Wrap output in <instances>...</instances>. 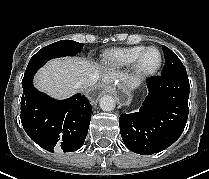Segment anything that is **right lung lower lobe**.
I'll return each mask as SVG.
<instances>
[{"mask_svg": "<svg viewBox=\"0 0 209 179\" xmlns=\"http://www.w3.org/2000/svg\"><path fill=\"white\" fill-rule=\"evenodd\" d=\"M33 77L22 83L21 122L28 136L43 149L64 152L79 149L86 138L91 104L84 95L55 100L33 86Z\"/></svg>", "mask_w": 209, "mask_h": 179, "instance_id": "1", "label": "right lung lower lobe"}]
</instances>
